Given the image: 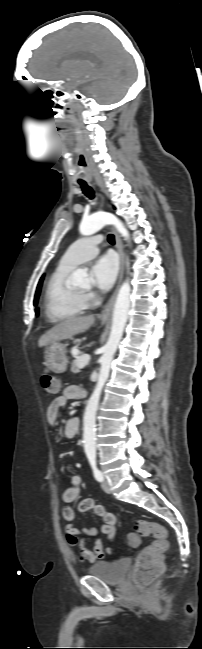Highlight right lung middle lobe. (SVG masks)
<instances>
[{"instance_id":"1","label":"right lung middle lobe","mask_w":202,"mask_h":649,"mask_svg":"<svg viewBox=\"0 0 202 649\" xmlns=\"http://www.w3.org/2000/svg\"><path fill=\"white\" fill-rule=\"evenodd\" d=\"M42 281H43V277H41V279H40V281H39V283H38V286H37L36 293H35V298H34V305H35V306L37 305L38 298H39V295H40V290H41V286H42ZM35 311H36V313H37V312H38V308H36Z\"/></svg>"}]
</instances>
